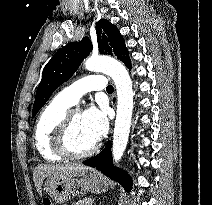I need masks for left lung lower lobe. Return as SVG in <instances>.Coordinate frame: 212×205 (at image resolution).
Returning a JSON list of instances; mask_svg holds the SVG:
<instances>
[{"mask_svg": "<svg viewBox=\"0 0 212 205\" xmlns=\"http://www.w3.org/2000/svg\"><path fill=\"white\" fill-rule=\"evenodd\" d=\"M124 64L131 69V61L128 58ZM83 164L96 168L109 178L119 182L126 191H130L132 187V181L129 175L125 171L114 167L112 163L111 155V143L109 142L103 151L90 159L83 161Z\"/></svg>", "mask_w": 212, "mask_h": 205, "instance_id": "left-lung-lower-lobe-1", "label": "left lung lower lobe"}]
</instances>
